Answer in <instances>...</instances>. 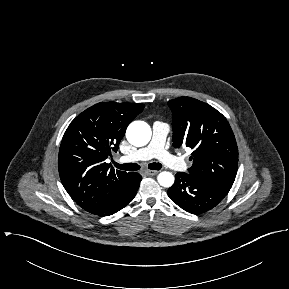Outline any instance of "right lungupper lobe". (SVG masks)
Wrapping results in <instances>:
<instances>
[{"label": "right lung upper lobe", "mask_w": 289, "mask_h": 289, "mask_svg": "<svg viewBox=\"0 0 289 289\" xmlns=\"http://www.w3.org/2000/svg\"><path fill=\"white\" fill-rule=\"evenodd\" d=\"M144 104L101 102L86 109L68 126L60 144L58 170L72 199L95 214L127 186L131 173L105 162L116 152L127 126Z\"/></svg>", "instance_id": "1"}]
</instances>
